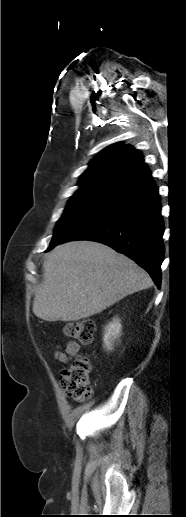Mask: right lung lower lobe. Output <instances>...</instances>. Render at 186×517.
<instances>
[{
	"label": "right lung lower lobe",
	"mask_w": 186,
	"mask_h": 517,
	"mask_svg": "<svg viewBox=\"0 0 186 517\" xmlns=\"http://www.w3.org/2000/svg\"><path fill=\"white\" fill-rule=\"evenodd\" d=\"M163 232L158 188L152 185L117 201L60 243L92 240L106 244L134 260L160 288Z\"/></svg>",
	"instance_id": "1"
}]
</instances>
